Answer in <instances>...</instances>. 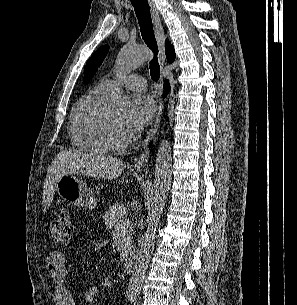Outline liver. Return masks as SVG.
<instances>
[{
  "instance_id": "liver-1",
  "label": "liver",
  "mask_w": 297,
  "mask_h": 305,
  "mask_svg": "<svg viewBox=\"0 0 297 305\" xmlns=\"http://www.w3.org/2000/svg\"><path fill=\"white\" fill-rule=\"evenodd\" d=\"M126 168V163L116 158L86 154L80 151H61L56 155L47 171L43 189V212L53 200L55 186L61 176L82 174L102 179H115Z\"/></svg>"
}]
</instances>
